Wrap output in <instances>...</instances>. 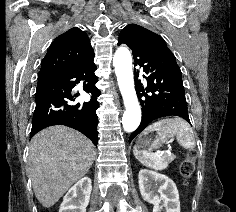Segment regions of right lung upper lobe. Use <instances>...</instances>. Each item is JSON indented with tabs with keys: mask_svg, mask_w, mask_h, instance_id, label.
Listing matches in <instances>:
<instances>
[{
	"mask_svg": "<svg viewBox=\"0 0 236 212\" xmlns=\"http://www.w3.org/2000/svg\"><path fill=\"white\" fill-rule=\"evenodd\" d=\"M91 52L93 49L87 34L79 28H71L53 41L41 62L39 74L71 68Z\"/></svg>",
	"mask_w": 236,
	"mask_h": 212,
	"instance_id": "right-lung-upper-lobe-1",
	"label": "right lung upper lobe"
}]
</instances>
